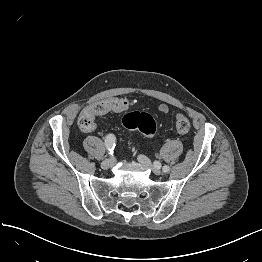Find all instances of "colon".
<instances>
[{
  "label": "colon",
  "instance_id": "obj_1",
  "mask_svg": "<svg viewBox=\"0 0 262 262\" xmlns=\"http://www.w3.org/2000/svg\"><path fill=\"white\" fill-rule=\"evenodd\" d=\"M131 106V103L126 99H108L97 102L92 106V110H85L81 113L78 123L79 127L84 131H89L95 126L94 113L103 112L110 109L113 112H125ZM122 124L129 130H137L146 137L151 138L156 133V123L148 113L131 112L127 113ZM176 129L180 135L188 134L190 123L186 116L179 114L176 117Z\"/></svg>",
  "mask_w": 262,
  "mask_h": 262
}]
</instances>
